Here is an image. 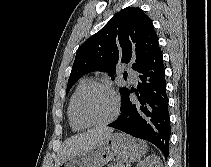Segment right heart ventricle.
<instances>
[{"label":"right heart ventricle","instance_id":"right-heart-ventricle-1","mask_svg":"<svg viewBox=\"0 0 211 167\" xmlns=\"http://www.w3.org/2000/svg\"><path fill=\"white\" fill-rule=\"evenodd\" d=\"M86 83H88V79H86V78L81 79L69 99L68 108H67V116H68V121H69L70 127L74 131H80L85 128L84 126L78 124L74 120L73 115H72V105H73V100H74L75 95Z\"/></svg>","mask_w":211,"mask_h":167}]
</instances>
